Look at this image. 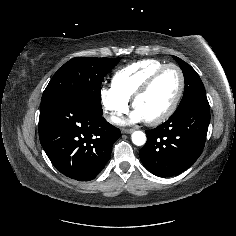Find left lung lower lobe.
I'll return each instance as SVG.
<instances>
[{
    "instance_id": "1",
    "label": "left lung lower lobe",
    "mask_w": 236,
    "mask_h": 236,
    "mask_svg": "<svg viewBox=\"0 0 236 236\" xmlns=\"http://www.w3.org/2000/svg\"><path fill=\"white\" fill-rule=\"evenodd\" d=\"M209 121L207 98L177 109L165 123L145 131L147 142L139 151L143 165L160 177L185 171L203 151Z\"/></svg>"
}]
</instances>
